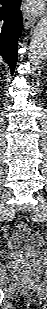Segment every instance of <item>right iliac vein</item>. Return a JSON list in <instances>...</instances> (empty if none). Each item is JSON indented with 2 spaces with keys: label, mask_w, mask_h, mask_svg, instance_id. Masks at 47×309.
Returning a JSON list of instances; mask_svg holds the SVG:
<instances>
[{
  "label": "right iliac vein",
  "mask_w": 47,
  "mask_h": 309,
  "mask_svg": "<svg viewBox=\"0 0 47 309\" xmlns=\"http://www.w3.org/2000/svg\"><path fill=\"white\" fill-rule=\"evenodd\" d=\"M10 197V192H4L2 195V201L0 204V215H1V219H4L7 216V209H6V201L9 199Z\"/></svg>",
  "instance_id": "obj_1"
}]
</instances>
